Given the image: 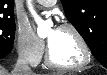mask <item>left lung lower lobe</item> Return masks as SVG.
Here are the masks:
<instances>
[{"instance_id":"obj_1","label":"left lung lower lobe","mask_w":107,"mask_h":75,"mask_svg":"<svg viewBox=\"0 0 107 75\" xmlns=\"http://www.w3.org/2000/svg\"><path fill=\"white\" fill-rule=\"evenodd\" d=\"M105 52L106 49L103 47H100L98 51L94 54L95 58L102 64V65H107L106 60H105Z\"/></svg>"}]
</instances>
